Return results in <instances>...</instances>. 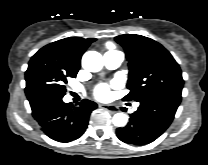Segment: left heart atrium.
<instances>
[{
	"mask_svg": "<svg viewBox=\"0 0 208 165\" xmlns=\"http://www.w3.org/2000/svg\"><path fill=\"white\" fill-rule=\"evenodd\" d=\"M94 95L99 100L108 99V97L110 96V90L108 85L105 83L99 84L94 90Z\"/></svg>",
	"mask_w": 208,
	"mask_h": 165,
	"instance_id": "obj_1",
	"label": "left heart atrium"
}]
</instances>
